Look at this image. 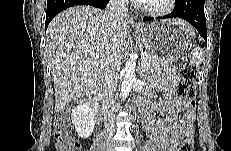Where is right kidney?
Here are the masks:
<instances>
[{"mask_svg": "<svg viewBox=\"0 0 231 151\" xmlns=\"http://www.w3.org/2000/svg\"><path fill=\"white\" fill-rule=\"evenodd\" d=\"M71 119L80 138L86 139L94 131V112L87 103H80L72 109Z\"/></svg>", "mask_w": 231, "mask_h": 151, "instance_id": "right-kidney-1", "label": "right kidney"}]
</instances>
